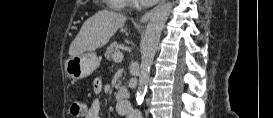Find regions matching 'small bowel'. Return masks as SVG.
<instances>
[{
	"instance_id": "1",
	"label": "small bowel",
	"mask_w": 273,
	"mask_h": 118,
	"mask_svg": "<svg viewBox=\"0 0 273 118\" xmlns=\"http://www.w3.org/2000/svg\"><path fill=\"white\" fill-rule=\"evenodd\" d=\"M93 90L95 93H99L102 90V82L100 80H95L93 82ZM118 111L120 113L125 112V107L122 105L118 106ZM100 116V103L97 99L93 100L88 108L86 118H99Z\"/></svg>"
}]
</instances>
